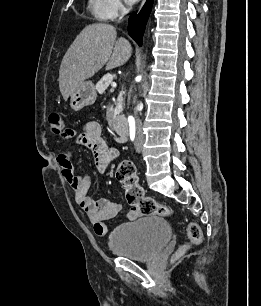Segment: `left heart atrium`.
<instances>
[{
  "label": "left heart atrium",
  "instance_id": "1",
  "mask_svg": "<svg viewBox=\"0 0 261 306\" xmlns=\"http://www.w3.org/2000/svg\"><path fill=\"white\" fill-rule=\"evenodd\" d=\"M128 3H135L138 0H126Z\"/></svg>",
  "mask_w": 261,
  "mask_h": 306
}]
</instances>
